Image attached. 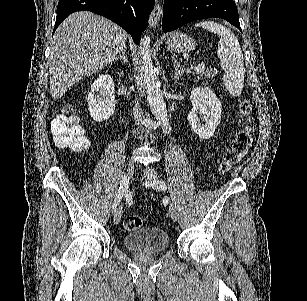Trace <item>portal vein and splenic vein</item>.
I'll use <instances>...</instances> for the list:
<instances>
[{
	"label": "portal vein and splenic vein",
	"instance_id": "1",
	"mask_svg": "<svg viewBox=\"0 0 307 301\" xmlns=\"http://www.w3.org/2000/svg\"><path fill=\"white\" fill-rule=\"evenodd\" d=\"M195 70H197V72H203V70H205V62H199V64H197Z\"/></svg>",
	"mask_w": 307,
	"mask_h": 301
}]
</instances>
